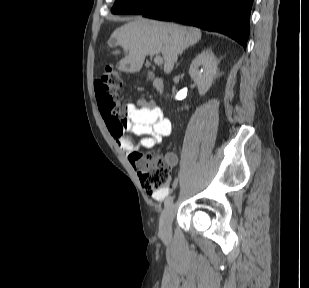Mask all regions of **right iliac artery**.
<instances>
[{
  "label": "right iliac artery",
  "mask_w": 309,
  "mask_h": 288,
  "mask_svg": "<svg viewBox=\"0 0 309 288\" xmlns=\"http://www.w3.org/2000/svg\"><path fill=\"white\" fill-rule=\"evenodd\" d=\"M174 196V195H173ZM173 201V197L172 196H168L165 200V206L167 207L168 205H170Z\"/></svg>",
  "instance_id": "right-iliac-artery-1"
}]
</instances>
